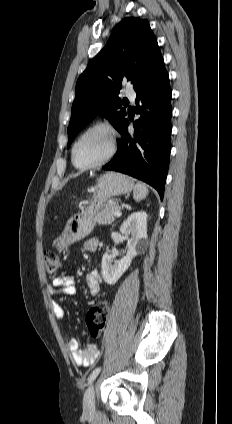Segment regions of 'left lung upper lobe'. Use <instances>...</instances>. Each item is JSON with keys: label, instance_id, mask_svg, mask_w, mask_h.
<instances>
[{"label": "left lung upper lobe", "instance_id": "left-lung-upper-lobe-1", "mask_svg": "<svg viewBox=\"0 0 232 424\" xmlns=\"http://www.w3.org/2000/svg\"><path fill=\"white\" fill-rule=\"evenodd\" d=\"M162 59L149 22L135 17L123 19L77 80L68 147L98 113L119 131L126 117L118 97L122 82L131 81L136 89Z\"/></svg>", "mask_w": 232, "mask_h": 424}]
</instances>
